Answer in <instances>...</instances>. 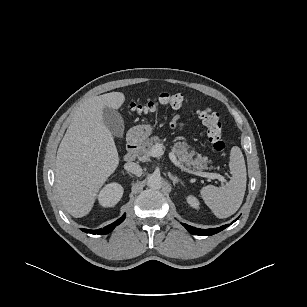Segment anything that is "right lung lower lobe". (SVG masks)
I'll return each mask as SVG.
<instances>
[{"instance_id":"1","label":"right lung lower lobe","mask_w":307,"mask_h":307,"mask_svg":"<svg viewBox=\"0 0 307 307\" xmlns=\"http://www.w3.org/2000/svg\"><path fill=\"white\" fill-rule=\"evenodd\" d=\"M125 219V215L116 220L114 223L104 227V228H101V229H98V230H89V229H82V231L86 232V233H91V234H108L109 232H111L116 226H118L119 224H121L123 222V220Z\"/></svg>"}]
</instances>
